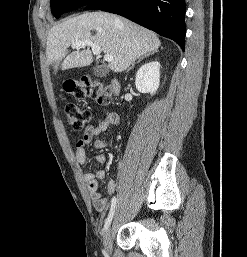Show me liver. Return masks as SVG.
Segmentation results:
<instances>
[{
    "instance_id": "6515ba94",
    "label": "liver",
    "mask_w": 247,
    "mask_h": 257,
    "mask_svg": "<svg viewBox=\"0 0 247 257\" xmlns=\"http://www.w3.org/2000/svg\"><path fill=\"white\" fill-rule=\"evenodd\" d=\"M89 40L111 55L109 68L122 72L145 54L158 50V36L132 21L105 12L84 13L53 26L47 38L46 56L57 71L86 67L93 61L89 48L68 54V47L76 41Z\"/></svg>"
}]
</instances>
